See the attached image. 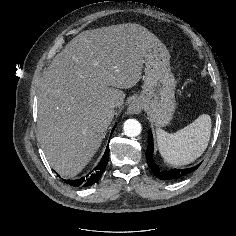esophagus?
<instances>
[{
  "instance_id": "34e87169",
  "label": "esophagus",
  "mask_w": 236,
  "mask_h": 236,
  "mask_svg": "<svg viewBox=\"0 0 236 236\" xmlns=\"http://www.w3.org/2000/svg\"><path fill=\"white\" fill-rule=\"evenodd\" d=\"M142 111V103L139 100H134L128 107L129 114H139Z\"/></svg>"
}]
</instances>
